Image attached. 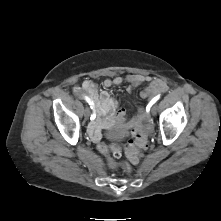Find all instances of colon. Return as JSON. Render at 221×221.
I'll list each match as a JSON object with an SVG mask.
<instances>
[{
  "label": "colon",
  "mask_w": 221,
  "mask_h": 221,
  "mask_svg": "<svg viewBox=\"0 0 221 221\" xmlns=\"http://www.w3.org/2000/svg\"><path fill=\"white\" fill-rule=\"evenodd\" d=\"M131 140L122 149L121 146L115 144H107L105 142H100L97 145L98 150L105 155L110 165L114 166V159L119 158L124 151L125 156L132 164L139 162L142 155V150L147 148V140L144 134H142L137 128L131 130ZM123 168L126 172L131 171V167L128 163L123 164Z\"/></svg>",
  "instance_id": "1"
}]
</instances>
